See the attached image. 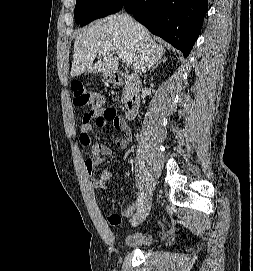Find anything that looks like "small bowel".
<instances>
[{
    "mask_svg": "<svg viewBox=\"0 0 253 271\" xmlns=\"http://www.w3.org/2000/svg\"><path fill=\"white\" fill-rule=\"evenodd\" d=\"M92 122H94L97 127H104L108 120L105 119L101 113L88 112L83 115L79 140L82 145L91 146L90 155L86 158L84 166L88 175L91 176L92 186L99 189H105L107 182L111 178V172L107 169L97 171V167L103 162L105 157L111 155L112 149L102 142H91ZM110 122H112L116 129L120 130L124 134L123 137L116 140V146L120 149H127L132 138L131 129L120 119L118 122ZM134 209L135 205L129 204L123 209L122 215L124 217H129L133 213ZM108 219L112 224L117 225L121 220V216L116 213H110L108 215ZM113 220H115V222H113Z\"/></svg>",
    "mask_w": 253,
    "mask_h": 271,
    "instance_id": "1",
    "label": "small bowel"
}]
</instances>
